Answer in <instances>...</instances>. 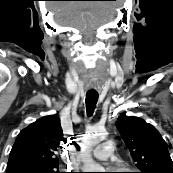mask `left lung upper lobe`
<instances>
[{"label": "left lung upper lobe", "mask_w": 173, "mask_h": 173, "mask_svg": "<svg viewBox=\"0 0 173 173\" xmlns=\"http://www.w3.org/2000/svg\"><path fill=\"white\" fill-rule=\"evenodd\" d=\"M116 127L126 143L139 173H173L166 142L149 123L138 117L120 116Z\"/></svg>", "instance_id": "left-lung-upper-lobe-1"}]
</instances>
